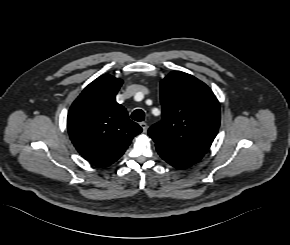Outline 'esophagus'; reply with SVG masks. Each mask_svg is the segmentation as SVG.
Returning <instances> with one entry per match:
<instances>
[{"label":"esophagus","mask_w":290,"mask_h":245,"mask_svg":"<svg viewBox=\"0 0 290 245\" xmlns=\"http://www.w3.org/2000/svg\"><path fill=\"white\" fill-rule=\"evenodd\" d=\"M140 126L142 127L143 129V133H146L147 132V129H148V125L146 122H141L140 123Z\"/></svg>","instance_id":"34e87169"}]
</instances>
